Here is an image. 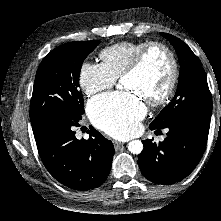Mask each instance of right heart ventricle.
Masks as SVG:
<instances>
[{
	"instance_id": "1",
	"label": "right heart ventricle",
	"mask_w": 221,
	"mask_h": 221,
	"mask_svg": "<svg viewBox=\"0 0 221 221\" xmlns=\"http://www.w3.org/2000/svg\"><path fill=\"white\" fill-rule=\"evenodd\" d=\"M145 42H119L100 52L103 66L116 78H121L136 52Z\"/></svg>"
}]
</instances>
